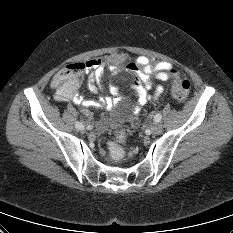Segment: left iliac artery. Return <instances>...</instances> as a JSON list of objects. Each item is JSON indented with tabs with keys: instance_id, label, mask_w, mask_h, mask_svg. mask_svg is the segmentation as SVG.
Instances as JSON below:
<instances>
[{
	"instance_id": "left-iliac-artery-1",
	"label": "left iliac artery",
	"mask_w": 233,
	"mask_h": 233,
	"mask_svg": "<svg viewBox=\"0 0 233 233\" xmlns=\"http://www.w3.org/2000/svg\"><path fill=\"white\" fill-rule=\"evenodd\" d=\"M161 119H162L161 113H157V114L154 116V121H155V122H160Z\"/></svg>"
}]
</instances>
